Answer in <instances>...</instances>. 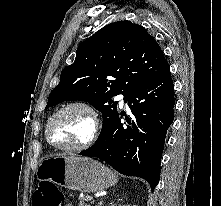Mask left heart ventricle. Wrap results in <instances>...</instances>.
<instances>
[{"label": "left heart ventricle", "instance_id": "obj_1", "mask_svg": "<svg viewBox=\"0 0 221 206\" xmlns=\"http://www.w3.org/2000/svg\"><path fill=\"white\" fill-rule=\"evenodd\" d=\"M90 129L89 116L80 109H72L54 120L50 129V137L58 145H75L89 136Z\"/></svg>", "mask_w": 221, "mask_h": 206}]
</instances>
